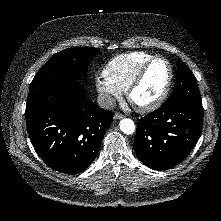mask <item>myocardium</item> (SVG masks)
<instances>
[{
	"instance_id": "f54148a6",
	"label": "myocardium",
	"mask_w": 221,
	"mask_h": 221,
	"mask_svg": "<svg viewBox=\"0 0 221 221\" xmlns=\"http://www.w3.org/2000/svg\"><path fill=\"white\" fill-rule=\"evenodd\" d=\"M156 60H163L168 67V78H167L165 87H164L162 93L154 101H152L148 104H138L134 101L133 94H134L135 90L138 88V86L141 84L148 68ZM172 82H173V67H172L170 61L166 57L161 56V55L152 56L140 67V69L137 71V73L133 77L132 81L130 82V84L126 90L127 98L129 100V102L134 106V108L136 110H138L139 112H142V113L152 112V111L158 109L164 103V101L166 100V98L168 97V94L170 92Z\"/></svg>"
}]
</instances>
